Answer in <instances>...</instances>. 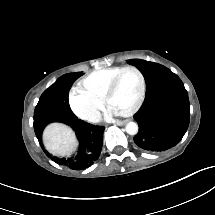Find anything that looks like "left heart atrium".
Returning <instances> with one entry per match:
<instances>
[{
  "label": "left heart atrium",
  "instance_id": "left-heart-atrium-1",
  "mask_svg": "<svg viewBox=\"0 0 215 215\" xmlns=\"http://www.w3.org/2000/svg\"><path fill=\"white\" fill-rule=\"evenodd\" d=\"M111 115H113L112 113L109 112V110L107 108H104L103 110V116L105 118L110 117Z\"/></svg>",
  "mask_w": 215,
  "mask_h": 215
}]
</instances>
